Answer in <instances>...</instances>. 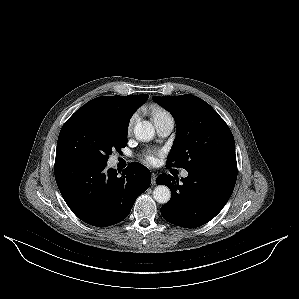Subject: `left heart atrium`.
<instances>
[{
    "label": "left heart atrium",
    "instance_id": "39dd6f15",
    "mask_svg": "<svg viewBox=\"0 0 299 299\" xmlns=\"http://www.w3.org/2000/svg\"><path fill=\"white\" fill-rule=\"evenodd\" d=\"M156 155L157 153L154 152V151H150V152H147L145 155H144V160L146 163L150 164V165H153L156 163Z\"/></svg>",
    "mask_w": 299,
    "mask_h": 299
}]
</instances>
